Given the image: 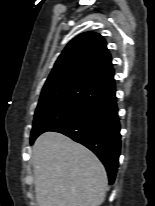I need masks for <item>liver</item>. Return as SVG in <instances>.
I'll return each mask as SVG.
<instances>
[{
    "label": "liver",
    "mask_w": 155,
    "mask_h": 206,
    "mask_svg": "<svg viewBox=\"0 0 155 206\" xmlns=\"http://www.w3.org/2000/svg\"><path fill=\"white\" fill-rule=\"evenodd\" d=\"M38 206H99L107 173L86 147L55 132L40 135L32 150Z\"/></svg>",
    "instance_id": "1"
}]
</instances>
